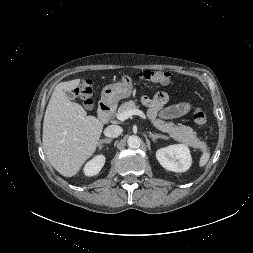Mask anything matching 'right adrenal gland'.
I'll return each instance as SVG.
<instances>
[{
    "label": "right adrenal gland",
    "instance_id": "1",
    "mask_svg": "<svg viewBox=\"0 0 253 253\" xmlns=\"http://www.w3.org/2000/svg\"><path fill=\"white\" fill-rule=\"evenodd\" d=\"M112 142V139L110 138H106V139H103V140H100V142H99V149L101 150L102 148H103V146H104V144H109V143H111Z\"/></svg>",
    "mask_w": 253,
    "mask_h": 253
}]
</instances>
